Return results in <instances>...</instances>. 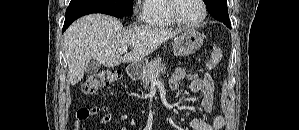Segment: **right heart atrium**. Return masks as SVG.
Instances as JSON below:
<instances>
[{
  "mask_svg": "<svg viewBox=\"0 0 299 130\" xmlns=\"http://www.w3.org/2000/svg\"><path fill=\"white\" fill-rule=\"evenodd\" d=\"M135 12L138 14V9H135Z\"/></svg>",
  "mask_w": 299,
  "mask_h": 130,
  "instance_id": "obj_1",
  "label": "right heart atrium"
}]
</instances>
